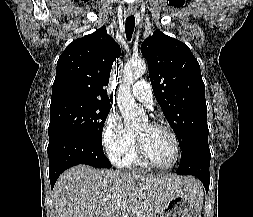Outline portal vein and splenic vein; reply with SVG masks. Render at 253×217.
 Segmentation results:
<instances>
[{"label": "portal vein and splenic vein", "mask_w": 253, "mask_h": 217, "mask_svg": "<svg viewBox=\"0 0 253 217\" xmlns=\"http://www.w3.org/2000/svg\"><path fill=\"white\" fill-rule=\"evenodd\" d=\"M123 217H128L127 215H124Z\"/></svg>", "instance_id": "1"}]
</instances>
